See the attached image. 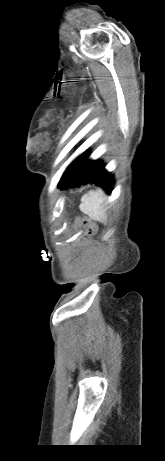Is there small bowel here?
I'll return each mask as SVG.
<instances>
[{"instance_id":"small-bowel-1","label":"small bowel","mask_w":165,"mask_h":461,"mask_svg":"<svg viewBox=\"0 0 165 461\" xmlns=\"http://www.w3.org/2000/svg\"><path fill=\"white\" fill-rule=\"evenodd\" d=\"M77 239L81 240L82 236L78 235ZM70 246L72 247L71 251H70L72 256H81L82 255V252H83L82 248H73L75 246L73 243Z\"/></svg>"}]
</instances>
